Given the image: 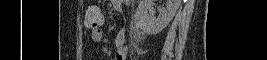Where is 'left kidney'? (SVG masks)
Returning <instances> with one entry per match:
<instances>
[{
	"label": "left kidney",
	"mask_w": 267,
	"mask_h": 60,
	"mask_svg": "<svg viewBox=\"0 0 267 60\" xmlns=\"http://www.w3.org/2000/svg\"><path fill=\"white\" fill-rule=\"evenodd\" d=\"M181 0H167L166 8L159 9L156 18L153 8V0H141L135 14L137 25L146 33L157 34L161 32L172 21Z\"/></svg>",
	"instance_id": "5707ae66"
}]
</instances>
